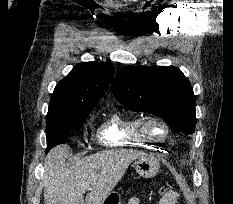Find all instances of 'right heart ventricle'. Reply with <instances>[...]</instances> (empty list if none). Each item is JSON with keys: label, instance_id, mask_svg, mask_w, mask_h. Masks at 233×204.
Returning a JSON list of instances; mask_svg holds the SVG:
<instances>
[{"label": "right heart ventricle", "instance_id": "right-heart-ventricle-1", "mask_svg": "<svg viewBox=\"0 0 233 204\" xmlns=\"http://www.w3.org/2000/svg\"><path fill=\"white\" fill-rule=\"evenodd\" d=\"M139 118L120 110L111 111L96 130L98 142L107 147H147L150 141L138 131Z\"/></svg>", "mask_w": 233, "mask_h": 204}]
</instances>
